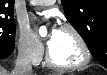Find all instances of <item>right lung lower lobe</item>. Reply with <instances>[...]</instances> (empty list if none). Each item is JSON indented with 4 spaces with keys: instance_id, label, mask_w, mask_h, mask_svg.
I'll return each instance as SVG.
<instances>
[{
    "instance_id": "right-lung-lower-lobe-1",
    "label": "right lung lower lobe",
    "mask_w": 107,
    "mask_h": 75,
    "mask_svg": "<svg viewBox=\"0 0 107 75\" xmlns=\"http://www.w3.org/2000/svg\"><path fill=\"white\" fill-rule=\"evenodd\" d=\"M14 50L13 48H0V59L7 58Z\"/></svg>"
}]
</instances>
